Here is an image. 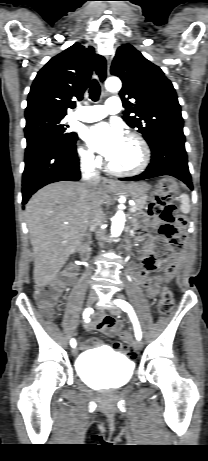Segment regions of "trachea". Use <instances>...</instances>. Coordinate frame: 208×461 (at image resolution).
<instances>
[{
  "label": "trachea",
  "instance_id": "3493384b",
  "mask_svg": "<svg viewBox=\"0 0 208 461\" xmlns=\"http://www.w3.org/2000/svg\"><path fill=\"white\" fill-rule=\"evenodd\" d=\"M99 55L96 58V71L99 77L102 79V72L99 65ZM100 96V85L96 79H93L90 84L89 97L92 101H98Z\"/></svg>",
  "mask_w": 208,
  "mask_h": 461
}]
</instances>
